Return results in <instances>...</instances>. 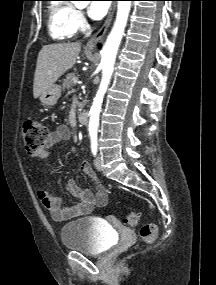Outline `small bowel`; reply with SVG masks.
<instances>
[{
	"mask_svg": "<svg viewBox=\"0 0 216 285\" xmlns=\"http://www.w3.org/2000/svg\"><path fill=\"white\" fill-rule=\"evenodd\" d=\"M70 137L71 131L69 127L59 125L50 133L45 148L49 149L60 141L70 139ZM43 156L47 157L48 153L45 152ZM81 170L94 183H97V176L88 162L82 164ZM67 191L78 200L76 204L67 207H62L60 199L49 192L45 190L37 192L40 202L56 221H66L75 217L88 215L96 206H103L107 203V192L100 184L96 185L93 192L88 189H81L75 181H69Z\"/></svg>",
	"mask_w": 216,
	"mask_h": 285,
	"instance_id": "1",
	"label": "small bowel"
}]
</instances>
